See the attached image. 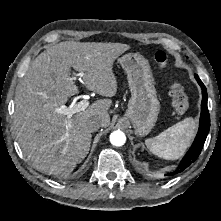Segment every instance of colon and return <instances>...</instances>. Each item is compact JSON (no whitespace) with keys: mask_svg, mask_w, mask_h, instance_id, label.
Segmentation results:
<instances>
[{"mask_svg":"<svg viewBox=\"0 0 221 221\" xmlns=\"http://www.w3.org/2000/svg\"><path fill=\"white\" fill-rule=\"evenodd\" d=\"M154 60L160 67H165L168 63V55L166 52L159 50L155 52ZM169 94L174 110L177 113H184L188 108V97L183 86L178 82L171 84Z\"/></svg>","mask_w":221,"mask_h":221,"instance_id":"obj_1","label":"colon"}]
</instances>
